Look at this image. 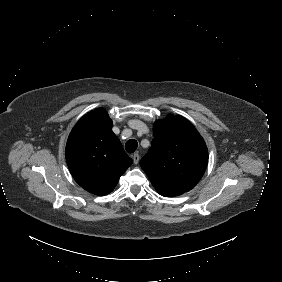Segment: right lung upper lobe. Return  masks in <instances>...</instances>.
I'll return each instance as SVG.
<instances>
[{
    "label": "right lung upper lobe",
    "instance_id": "obj_1",
    "mask_svg": "<svg viewBox=\"0 0 282 282\" xmlns=\"http://www.w3.org/2000/svg\"><path fill=\"white\" fill-rule=\"evenodd\" d=\"M112 125L105 109H94L76 123L66 145V161L75 181L98 196L112 192L132 164Z\"/></svg>",
    "mask_w": 282,
    "mask_h": 282
}]
</instances>
